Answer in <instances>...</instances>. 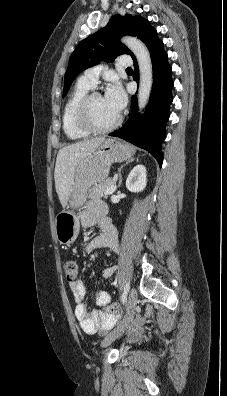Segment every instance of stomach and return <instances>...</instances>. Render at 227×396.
Instances as JSON below:
<instances>
[{"label":"stomach","mask_w":227,"mask_h":396,"mask_svg":"<svg viewBox=\"0 0 227 396\" xmlns=\"http://www.w3.org/2000/svg\"><path fill=\"white\" fill-rule=\"evenodd\" d=\"M132 146L115 139L105 140L96 150L90 152L75 168L74 180L68 207L55 218V234L60 244H72L79 234V218L75 208L83 206L89 189L107 180L112 163L123 162L133 156Z\"/></svg>","instance_id":"1"}]
</instances>
